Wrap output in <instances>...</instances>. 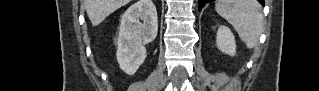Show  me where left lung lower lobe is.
<instances>
[{"instance_id": "obj_1", "label": "left lung lower lobe", "mask_w": 319, "mask_h": 91, "mask_svg": "<svg viewBox=\"0 0 319 91\" xmlns=\"http://www.w3.org/2000/svg\"><path fill=\"white\" fill-rule=\"evenodd\" d=\"M208 1L212 0H199V9H201ZM262 5H264V0H258Z\"/></svg>"}]
</instances>
